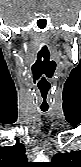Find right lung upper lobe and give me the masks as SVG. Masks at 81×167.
<instances>
[{
    "mask_svg": "<svg viewBox=\"0 0 81 167\" xmlns=\"http://www.w3.org/2000/svg\"><path fill=\"white\" fill-rule=\"evenodd\" d=\"M31 165L27 161L23 144L0 147V167H30Z\"/></svg>",
    "mask_w": 81,
    "mask_h": 167,
    "instance_id": "cb5924a9",
    "label": "right lung upper lobe"
}]
</instances>
